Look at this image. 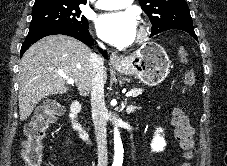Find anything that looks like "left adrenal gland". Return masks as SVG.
<instances>
[{"mask_svg":"<svg viewBox=\"0 0 227 166\" xmlns=\"http://www.w3.org/2000/svg\"><path fill=\"white\" fill-rule=\"evenodd\" d=\"M127 104V99L125 100V106ZM139 107L135 106V105H128L126 108V111L128 114L133 113L134 111H136Z\"/></svg>","mask_w":227,"mask_h":166,"instance_id":"left-adrenal-gland-1","label":"left adrenal gland"}]
</instances>
